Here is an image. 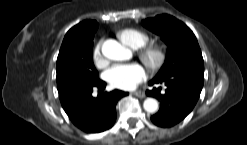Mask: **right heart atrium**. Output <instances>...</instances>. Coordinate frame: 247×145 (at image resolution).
Returning a JSON list of instances; mask_svg holds the SVG:
<instances>
[{"label": "right heart atrium", "instance_id": "right-heart-atrium-1", "mask_svg": "<svg viewBox=\"0 0 247 145\" xmlns=\"http://www.w3.org/2000/svg\"><path fill=\"white\" fill-rule=\"evenodd\" d=\"M92 61L98 68H103L107 65V59L102 53L100 42L97 43L92 50Z\"/></svg>", "mask_w": 247, "mask_h": 145}]
</instances>
